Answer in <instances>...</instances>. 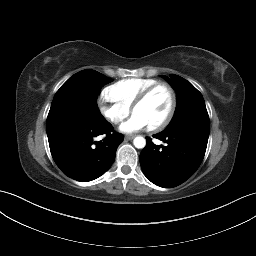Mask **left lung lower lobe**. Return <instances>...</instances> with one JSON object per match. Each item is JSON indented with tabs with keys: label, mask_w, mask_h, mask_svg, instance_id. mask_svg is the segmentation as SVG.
<instances>
[{
	"label": "left lung lower lobe",
	"mask_w": 256,
	"mask_h": 256,
	"mask_svg": "<svg viewBox=\"0 0 256 256\" xmlns=\"http://www.w3.org/2000/svg\"><path fill=\"white\" fill-rule=\"evenodd\" d=\"M153 137L167 143L155 145L149 137L140 154L145 176L163 188L178 186L190 178L200 166L207 147L209 132L183 127L172 132H160Z\"/></svg>",
	"instance_id": "left-lung-lower-lobe-1"
}]
</instances>
